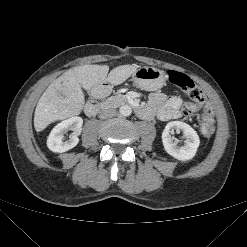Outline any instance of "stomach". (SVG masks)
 I'll return each mask as SVG.
<instances>
[{
  "label": "stomach",
  "mask_w": 247,
  "mask_h": 247,
  "mask_svg": "<svg viewBox=\"0 0 247 247\" xmlns=\"http://www.w3.org/2000/svg\"><path fill=\"white\" fill-rule=\"evenodd\" d=\"M132 80L142 89L157 90L164 85L165 73L155 67H140L133 73Z\"/></svg>",
  "instance_id": "0dacf381"
}]
</instances>
